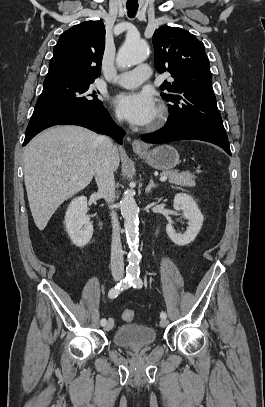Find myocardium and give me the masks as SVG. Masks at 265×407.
Wrapping results in <instances>:
<instances>
[{"instance_id": "obj_1", "label": "myocardium", "mask_w": 265, "mask_h": 407, "mask_svg": "<svg viewBox=\"0 0 265 407\" xmlns=\"http://www.w3.org/2000/svg\"><path fill=\"white\" fill-rule=\"evenodd\" d=\"M167 108L163 104H159L155 119L147 126L148 131H153L160 128L167 119Z\"/></svg>"}]
</instances>
